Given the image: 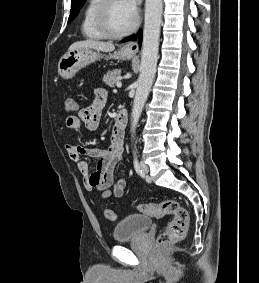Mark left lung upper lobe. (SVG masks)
I'll return each instance as SVG.
<instances>
[{
    "mask_svg": "<svg viewBox=\"0 0 259 283\" xmlns=\"http://www.w3.org/2000/svg\"><path fill=\"white\" fill-rule=\"evenodd\" d=\"M86 0H72L71 2V12L68 19V23H70L77 15L80 8L83 6Z\"/></svg>",
    "mask_w": 259,
    "mask_h": 283,
    "instance_id": "1",
    "label": "left lung upper lobe"
}]
</instances>
